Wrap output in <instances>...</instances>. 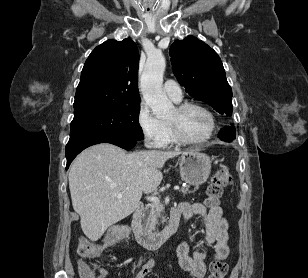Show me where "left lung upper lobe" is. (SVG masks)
Listing matches in <instances>:
<instances>
[{
    "label": "left lung upper lobe",
    "mask_w": 308,
    "mask_h": 278,
    "mask_svg": "<svg viewBox=\"0 0 308 278\" xmlns=\"http://www.w3.org/2000/svg\"><path fill=\"white\" fill-rule=\"evenodd\" d=\"M174 74L186 92L212 106L218 113L232 115V89L218 54L194 36L175 41L169 50Z\"/></svg>",
    "instance_id": "1"
}]
</instances>
